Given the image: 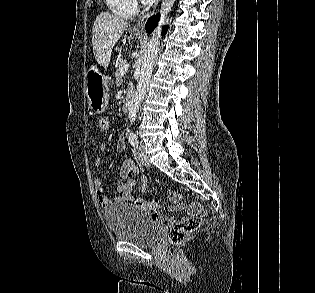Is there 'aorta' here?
<instances>
[{
  "label": "aorta",
  "instance_id": "1",
  "mask_svg": "<svg viewBox=\"0 0 315 293\" xmlns=\"http://www.w3.org/2000/svg\"><path fill=\"white\" fill-rule=\"evenodd\" d=\"M175 0H162L161 4V18L163 19L166 17L173 5H174ZM160 25L154 30V32L151 35L150 40L148 41L146 45V52L143 56V62L141 66V73H140V78L138 81V85L136 87V91L133 95L130 107H129V120L130 123L132 124L136 117H137V112L139 110L141 101L146 93L153 67H154V61L158 52V47L160 43Z\"/></svg>",
  "mask_w": 315,
  "mask_h": 293
}]
</instances>
